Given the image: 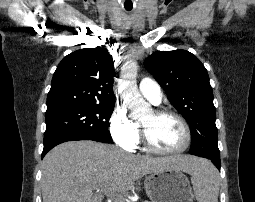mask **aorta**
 <instances>
[{"label":"aorta","instance_id":"1","mask_svg":"<svg viewBox=\"0 0 255 202\" xmlns=\"http://www.w3.org/2000/svg\"><path fill=\"white\" fill-rule=\"evenodd\" d=\"M136 75L137 63L134 61L127 62L121 70L120 86L124 101L131 112V117L138 119L150 113L151 108L150 104L142 98L138 91Z\"/></svg>","mask_w":255,"mask_h":202}]
</instances>
